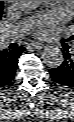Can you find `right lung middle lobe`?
<instances>
[{"instance_id": "right-lung-middle-lobe-1", "label": "right lung middle lobe", "mask_w": 74, "mask_h": 122, "mask_svg": "<svg viewBox=\"0 0 74 122\" xmlns=\"http://www.w3.org/2000/svg\"><path fill=\"white\" fill-rule=\"evenodd\" d=\"M3 1H0V17L2 15Z\"/></svg>"}]
</instances>
